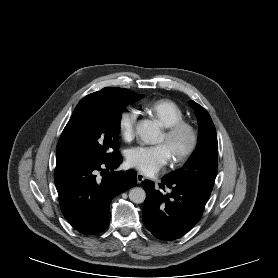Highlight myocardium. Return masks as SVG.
<instances>
[{"instance_id":"1","label":"myocardium","mask_w":278,"mask_h":278,"mask_svg":"<svg viewBox=\"0 0 278 278\" xmlns=\"http://www.w3.org/2000/svg\"><path fill=\"white\" fill-rule=\"evenodd\" d=\"M182 135L187 137V144L184 148L173 154L172 161L174 163H182L186 161L195 152L198 146V132L191 123L185 120L179 121L166 128L164 132V138L167 143H172Z\"/></svg>"}]
</instances>
